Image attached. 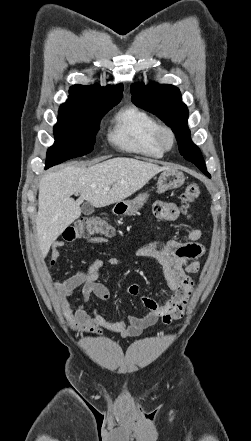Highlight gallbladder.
Listing matches in <instances>:
<instances>
[{
	"label": "gallbladder",
	"instance_id": "bac80fb5",
	"mask_svg": "<svg viewBox=\"0 0 251 441\" xmlns=\"http://www.w3.org/2000/svg\"><path fill=\"white\" fill-rule=\"evenodd\" d=\"M81 209L84 215H91L94 212V207L90 202H85Z\"/></svg>",
	"mask_w": 251,
	"mask_h": 441
}]
</instances>
